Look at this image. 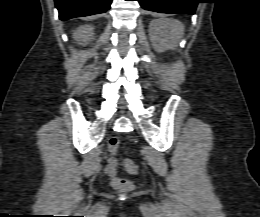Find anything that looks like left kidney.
<instances>
[{
	"label": "left kidney",
	"mask_w": 260,
	"mask_h": 217,
	"mask_svg": "<svg viewBox=\"0 0 260 217\" xmlns=\"http://www.w3.org/2000/svg\"><path fill=\"white\" fill-rule=\"evenodd\" d=\"M164 30H170V35L164 36L163 34ZM149 31H150V40L152 42L154 49L157 52H163L166 49L173 48L177 45L178 42L177 33L173 28V26L170 25L169 23H165L162 21H152L150 23ZM162 37L171 40H166L163 39Z\"/></svg>",
	"instance_id": "left-kidney-1"
}]
</instances>
